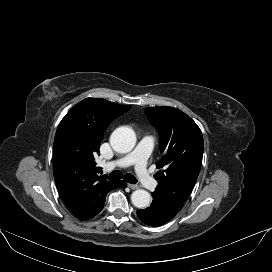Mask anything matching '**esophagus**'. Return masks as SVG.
Listing matches in <instances>:
<instances>
[{"label": "esophagus", "mask_w": 272, "mask_h": 272, "mask_svg": "<svg viewBox=\"0 0 272 272\" xmlns=\"http://www.w3.org/2000/svg\"><path fill=\"white\" fill-rule=\"evenodd\" d=\"M128 187H129L130 189H132V190H135V189H138V188H139V186L136 185V184H128Z\"/></svg>", "instance_id": "34e87169"}]
</instances>
